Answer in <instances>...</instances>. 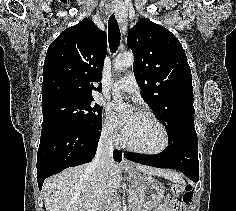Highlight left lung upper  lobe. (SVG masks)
I'll list each match as a JSON object with an SVG mask.
<instances>
[{"label":"left lung upper lobe","mask_w":236,"mask_h":211,"mask_svg":"<svg viewBox=\"0 0 236 211\" xmlns=\"http://www.w3.org/2000/svg\"><path fill=\"white\" fill-rule=\"evenodd\" d=\"M127 45L142 96L168 131L170 143L195 144L191 70L179 40L165 27L141 19Z\"/></svg>","instance_id":"5c2ea615"}]
</instances>
